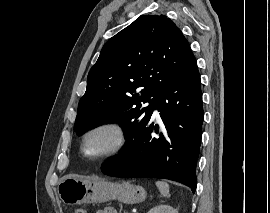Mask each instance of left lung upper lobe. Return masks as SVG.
Here are the masks:
<instances>
[{
	"label": "left lung upper lobe",
	"mask_w": 270,
	"mask_h": 213,
	"mask_svg": "<svg viewBox=\"0 0 270 213\" xmlns=\"http://www.w3.org/2000/svg\"><path fill=\"white\" fill-rule=\"evenodd\" d=\"M196 63L181 30L164 15H143L103 46L87 77L74 129L118 123L128 140L149 122L157 96ZM149 106L141 108L142 103Z\"/></svg>",
	"instance_id": "left-lung-upper-lobe-1"
}]
</instances>
